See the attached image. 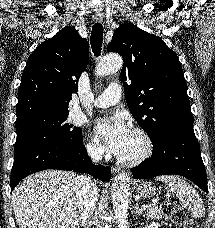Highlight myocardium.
I'll return each instance as SVG.
<instances>
[{
  "mask_svg": "<svg viewBox=\"0 0 215 228\" xmlns=\"http://www.w3.org/2000/svg\"><path fill=\"white\" fill-rule=\"evenodd\" d=\"M133 133L138 135L142 142V147L138 153L130 157H119L117 159L118 163L122 166H135L143 161H145L151 154L153 150V144L148 132L141 128L135 127Z\"/></svg>",
  "mask_w": 215,
  "mask_h": 228,
  "instance_id": "obj_1",
  "label": "myocardium"
}]
</instances>
